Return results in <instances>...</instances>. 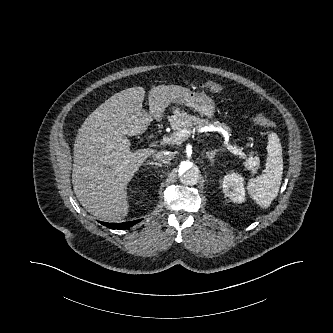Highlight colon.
Returning <instances> with one entry per match:
<instances>
[{"mask_svg": "<svg viewBox=\"0 0 333 333\" xmlns=\"http://www.w3.org/2000/svg\"><path fill=\"white\" fill-rule=\"evenodd\" d=\"M201 87L212 93H221L223 91V87L214 81H205L201 84ZM253 122L265 128H274L276 126L274 121L261 114L255 115L253 117Z\"/></svg>", "mask_w": 333, "mask_h": 333, "instance_id": "obj_1", "label": "colon"}]
</instances>
